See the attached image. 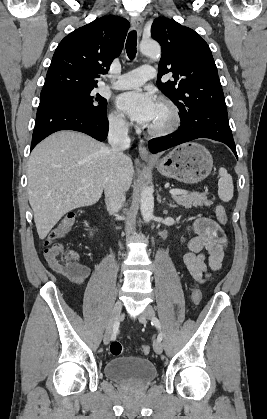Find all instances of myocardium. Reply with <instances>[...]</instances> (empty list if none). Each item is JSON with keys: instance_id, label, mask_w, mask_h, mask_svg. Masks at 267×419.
<instances>
[{"instance_id": "1", "label": "myocardium", "mask_w": 267, "mask_h": 419, "mask_svg": "<svg viewBox=\"0 0 267 419\" xmlns=\"http://www.w3.org/2000/svg\"><path fill=\"white\" fill-rule=\"evenodd\" d=\"M159 104L165 106L170 112V121L160 127H148L147 132L151 136L162 137L175 132L181 124V114L178 106L168 98H160Z\"/></svg>"}]
</instances>
